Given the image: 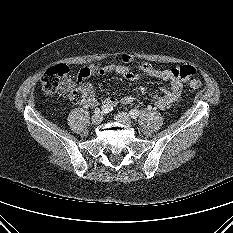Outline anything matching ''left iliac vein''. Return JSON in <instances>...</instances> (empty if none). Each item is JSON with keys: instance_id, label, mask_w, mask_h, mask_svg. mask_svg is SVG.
<instances>
[{"instance_id": "4c4485c4", "label": "left iliac vein", "mask_w": 233, "mask_h": 233, "mask_svg": "<svg viewBox=\"0 0 233 233\" xmlns=\"http://www.w3.org/2000/svg\"><path fill=\"white\" fill-rule=\"evenodd\" d=\"M115 120H117L118 122H120L126 126H132V120H131L129 114L126 112H119L118 114H116Z\"/></svg>"}]
</instances>
